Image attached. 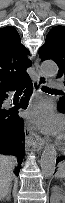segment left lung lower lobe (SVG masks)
<instances>
[{
	"instance_id": "0a47b994",
	"label": "left lung lower lobe",
	"mask_w": 65,
	"mask_h": 203,
	"mask_svg": "<svg viewBox=\"0 0 65 203\" xmlns=\"http://www.w3.org/2000/svg\"><path fill=\"white\" fill-rule=\"evenodd\" d=\"M59 109V108H58ZM60 112H64L63 110L59 109ZM65 113V112H64ZM60 161H65V155L64 156H61V157H58L57 160H56V163H59Z\"/></svg>"
}]
</instances>
